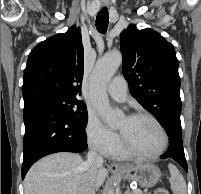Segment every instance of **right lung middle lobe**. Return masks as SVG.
Returning <instances> with one entry per match:
<instances>
[{"label": "right lung middle lobe", "mask_w": 201, "mask_h": 194, "mask_svg": "<svg viewBox=\"0 0 201 194\" xmlns=\"http://www.w3.org/2000/svg\"><path fill=\"white\" fill-rule=\"evenodd\" d=\"M30 102H37L54 107L60 110L65 116L70 118L81 128L86 127L87 108L86 105L77 98L58 95H44L34 98Z\"/></svg>", "instance_id": "obj_1"}]
</instances>
